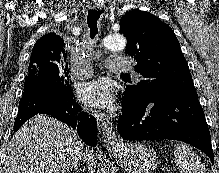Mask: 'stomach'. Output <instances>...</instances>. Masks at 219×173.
<instances>
[{"mask_svg": "<svg viewBox=\"0 0 219 173\" xmlns=\"http://www.w3.org/2000/svg\"><path fill=\"white\" fill-rule=\"evenodd\" d=\"M109 150L127 173H151L157 167V154L145 142L121 143Z\"/></svg>", "mask_w": 219, "mask_h": 173, "instance_id": "obj_1", "label": "stomach"}]
</instances>
